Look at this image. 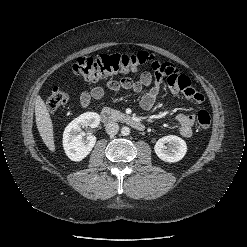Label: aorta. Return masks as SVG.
Segmentation results:
<instances>
[{"mask_svg": "<svg viewBox=\"0 0 247 247\" xmlns=\"http://www.w3.org/2000/svg\"><path fill=\"white\" fill-rule=\"evenodd\" d=\"M121 134H122L123 136H128V135L130 134V128L127 127V126L122 127V129H121Z\"/></svg>", "mask_w": 247, "mask_h": 247, "instance_id": "762f6f07", "label": "aorta"}]
</instances>
